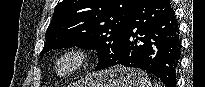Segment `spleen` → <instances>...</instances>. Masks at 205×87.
<instances>
[{
  "label": "spleen",
  "mask_w": 205,
  "mask_h": 87,
  "mask_svg": "<svg viewBox=\"0 0 205 87\" xmlns=\"http://www.w3.org/2000/svg\"><path fill=\"white\" fill-rule=\"evenodd\" d=\"M155 87H160V84H155Z\"/></svg>",
  "instance_id": "spleen-1"
}]
</instances>
